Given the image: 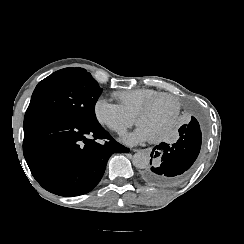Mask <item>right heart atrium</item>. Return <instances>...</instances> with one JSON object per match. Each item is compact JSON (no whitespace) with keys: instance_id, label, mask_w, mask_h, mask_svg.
Listing matches in <instances>:
<instances>
[{"instance_id":"obj_1","label":"right heart atrium","mask_w":244,"mask_h":244,"mask_svg":"<svg viewBox=\"0 0 244 244\" xmlns=\"http://www.w3.org/2000/svg\"><path fill=\"white\" fill-rule=\"evenodd\" d=\"M97 120L112 131L123 135L136 124V116L121 104L112 102L108 97H100L94 104Z\"/></svg>"}]
</instances>
